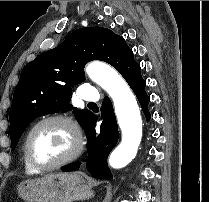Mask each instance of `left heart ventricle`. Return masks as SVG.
Here are the masks:
<instances>
[{
	"mask_svg": "<svg viewBox=\"0 0 209 202\" xmlns=\"http://www.w3.org/2000/svg\"><path fill=\"white\" fill-rule=\"evenodd\" d=\"M72 145L73 138L69 130L60 123L49 122L33 133L30 152L37 163L48 165L67 155Z\"/></svg>",
	"mask_w": 209,
	"mask_h": 202,
	"instance_id": "1",
	"label": "left heart ventricle"
}]
</instances>
